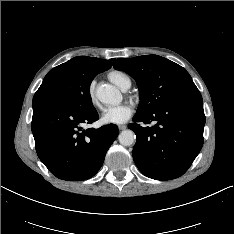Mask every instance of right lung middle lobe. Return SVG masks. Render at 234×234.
<instances>
[{
	"label": "right lung middle lobe",
	"instance_id": "right-lung-middle-lobe-1",
	"mask_svg": "<svg viewBox=\"0 0 234 234\" xmlns=\"http://www.w3.org/2000/svg\"><path fill=\"white\" fill-rule=\"evenodd\" d=\"M97 74L83 70L71 59L48 72L32 103L57 102L79 110L91 109L90 84Z\"/></svg>",
	"mask_w": 234,
	"mask_h": 234
}]
</instances>
